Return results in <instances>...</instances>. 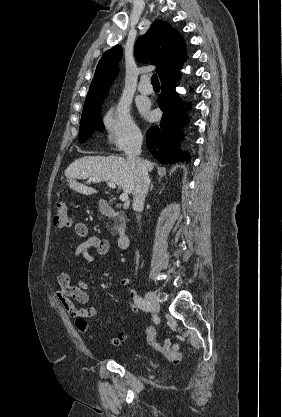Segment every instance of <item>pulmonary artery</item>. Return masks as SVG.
I'll use <instances>...</instances> for the list:
<instances>
[{"label":"pulmonary artery","mask_w":282,"mask_h":417,"mask_svg":"<svg viewBox=\"0 0 282 417\" xmlns=\"http://www.w3.org/2000/svg\"><path fill=\"white\" fill-rule=\"evenodd\" d=\"M149 81V78L147 76H144L138 86V90L143 95H149L152 93V87L145 86L144 84Z\"/></svg>","instance_id":"e3ab8cb5"}]
</instances>
